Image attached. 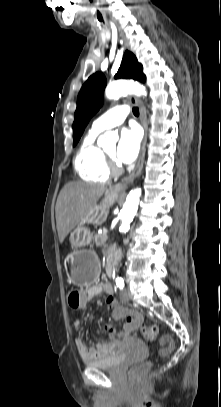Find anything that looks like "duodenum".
Segmentation results:
<instances>
[{
    "instance_id": "1",
    "label": "duodenum",
    "mask_w": 221,
    "mask_h": 407,
    "mask_svg": "<svg viewBox=\"0 0 221 407\" xmlns=\"http://www.w3.org/2000/svg\"><path fill=\"white\" fill-rule=\"evenodd\" d=\"M116 259H117V254L111 255L107 259L105 269H106V273L108 275H111L113 273L114 266H115V263H116Z\"/></svg>"
}]
</instances>
